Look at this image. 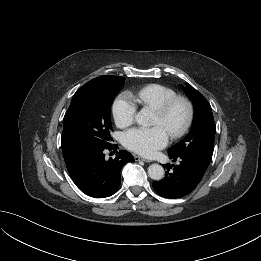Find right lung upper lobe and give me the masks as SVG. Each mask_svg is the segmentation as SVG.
Instances as JSON below:
<instances>
[{
	"instance_id": "cb5924a9",
	"label": "right lung upper lobe",
	"mask_w": 261,
	"mask_h": 261,
	"mask_svg": "<svg viewBox=\"0 0 261 261\" xmlns=\"http://www.w3.org/2000/svg\"><path fill=\"white\" fill-rule=\"evenodd\" d=\"M113 77L115 76H100V77H97L87 83H94V82H102V81H108V80H111L113 79Z\"/></svg>"
}]
</instances>
